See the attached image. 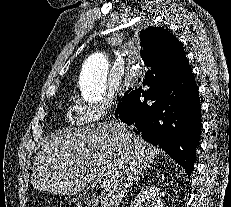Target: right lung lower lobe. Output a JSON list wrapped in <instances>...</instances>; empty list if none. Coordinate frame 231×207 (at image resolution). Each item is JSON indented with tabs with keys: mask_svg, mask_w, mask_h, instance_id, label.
Instances as JSON below:
<instances>
[{
	"mask_svg": "<svg viewBox=\"0 0 231 207\" xmlns=\"http://www.w3.org/2000/svg\"><path fill=\"white\" fill-rule=\"evenodd\" d=\"M151 31H141L140 39ZM146 85L150 88L125 93L115 117L167 152L190 176L201 133V104L191 68L159 71L155 66L145 75Z\"/></svg>",
	"mask_w": 231,
	"mask_h": 207,
	"instance_id": "98d812e1",
	"label": "right lung lower lobe"
}]
</instances>
